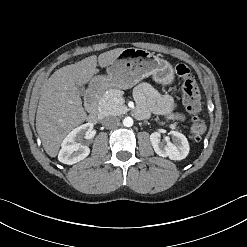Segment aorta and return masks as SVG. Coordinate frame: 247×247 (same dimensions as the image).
<instances>
[{
	"instance_id": "1",
	"label": "aorta",
	"mask_w": 247,
	"mask_h": 247,
	"mask_svg": "<svg viewBox=\"0 0 247 247\" xmlns=\"http://www.w3.org/2000/svg\"><path fill=\"white\" fill-rule=\"evenodd\" d=\"M123 125L125 127H131L133 125V119L129 116L125 117L123 120Z\"/></svg>"
}]
</instances>
